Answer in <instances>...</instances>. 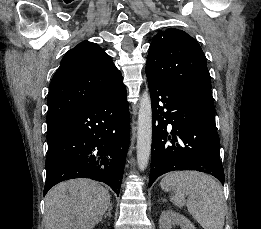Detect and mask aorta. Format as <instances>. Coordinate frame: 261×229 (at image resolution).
Instances as JSON below:
<instances>
[{"label": "aorta", "instance_id": "obj_1", "mask_svg": "<svg viewBox=\"0 0 261 229\" xmlns=\"http://www.w3.org/2000/svg\"><path fill=\"white\" fill-rule=\"evenodd\" d=\"M152 145V106L150 94L144 90L138 110L136 157L140 171L148 167Z\"/></svg>", "mask_w": 261, "mask_h": 229}]
</instances>
